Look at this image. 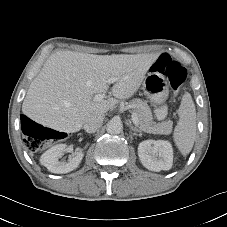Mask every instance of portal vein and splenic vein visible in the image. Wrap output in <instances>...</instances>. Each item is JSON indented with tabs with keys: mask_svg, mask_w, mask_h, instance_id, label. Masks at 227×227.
<instances>
[{
	"mask_svg": "<svg viewBox=\"0 0 227 227\" xmlns=\"http://www.w3.org/2000/svg\"><path fill=\"white\" fill-rule=\"evenodd\" d=\"M117 80H118L117 77L112 76V77H110V78L108 79V82H109V84H113V83H115ZM105 96H106V93L96 94V95L94 96V100H95V101H100V100L104 99ZM132 121H133V123H134L136 126H138V117H137V114H136L135 112L132 113Z\"/></svg>",
	"mask_w": 227,
	"mask_h": 227,
	"instance_id": "obj_1",
	"label": "portal vein and splenic vein"
}]
</instances>
